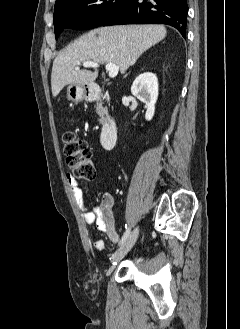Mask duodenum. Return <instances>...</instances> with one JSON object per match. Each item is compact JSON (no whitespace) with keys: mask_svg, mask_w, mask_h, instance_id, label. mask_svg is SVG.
Instances as JSON below:
<instances>
[{"mask_svg":"<svg viewBox=\"0 0 240 329\" xmlns=\"http://www.w3.org/2000/svg\"><path fill=\"white\" fill-rule=\"evenodd\" d=\"M102 89L97 84H92L86 89L85 98L87 101H98L101 98ZM118 129L116 123L106 119L101 132V144L104 149L110 150L114 147L117 139Z\"/></svg>","mask_w":240,"mask_h":329,"instance_id":"1","label":"duodenum"}]
</instances>
